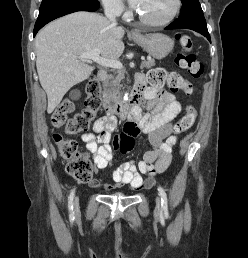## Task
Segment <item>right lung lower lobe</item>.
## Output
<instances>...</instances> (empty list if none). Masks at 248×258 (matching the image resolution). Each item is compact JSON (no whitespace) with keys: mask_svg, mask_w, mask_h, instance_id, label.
<instances>
[{"mask_svg":"<svg viewBox=\"0 0 248 258\" xmlns=\"http://www.w3.org/2000/svg\"><path fill=\"white\" fill-rule=\"evenodd\" d=\"M100 7L99 1L95 0H80L77 2H72L68 4L57 5L46 9L44 11L39 12L38 19L35 23L34 27V36L37 32L50 21L64 16L69 13H73L76 11H91L94 12Z\"/></svg>","mask_w":248,"mask_h":258,"instance_id":"obj_1","label":"right lung lower lobe"}]
</instances>
